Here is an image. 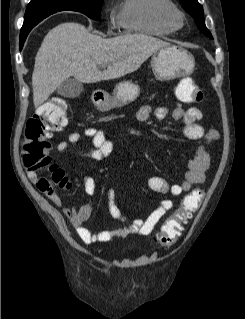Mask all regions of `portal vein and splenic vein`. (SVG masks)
Instances as JSON below:
<instances>
[{
    "label": "portal vein and splenic vein",
    "instance_id": "18ae733b",
    "mask_svg": "<svg viewBox=\"0 0 245 319\" xmlns=\"http://www.w3.org/2000/svg\"><path fill=\"white\" fill-rule=\"evenodd\" d=\"M100 67H101L102 69H105V68H106V65H105V64H102Z\"/></svg>",
    "mask_w": 245,
    "mask_h": 319
}]
</instances>
